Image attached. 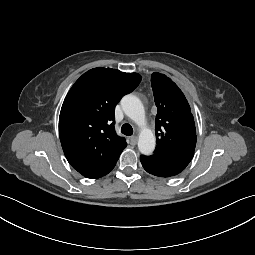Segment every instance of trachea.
Returning <instances> with one entry per match:
<instances>
[{"label": "trachea", "mask_w": 255, "mask_h": 255, "mask_svg": "<svg viewBox=\"0 0 255 255\" xmlns=\"http://www.w3.org/2000/svg\"><path fill=\"white\" fill-rule=\"evenodd\" d=\"M121 132L124 134V135H127V136H130L133 134V128L130 124L126 123V124H123L122 127H121Z\"/></svg>", "instance_id": "trachea-1"}]
</instances>
